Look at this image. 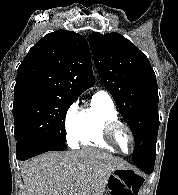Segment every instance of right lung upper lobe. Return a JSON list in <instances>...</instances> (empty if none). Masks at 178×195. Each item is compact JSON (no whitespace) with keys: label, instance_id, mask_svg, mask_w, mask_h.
Instances as JSON below:
<instances>
[{"label":"right lung upper lobe","instance_id":"1","mask_svg":"<svg viewBox=\"0 0 178 195\" xmlns=\"http://www.w3.org/2000/svg\"><path fill=\"white\" fill-rule=\"evenodd\" d=\"M95 81L90 50L83 36L57 30L37 42L17 71L14 97L46 94L77 99Z\"/></svg>","mask_w":178,"mask_h":195}]
</instances>
